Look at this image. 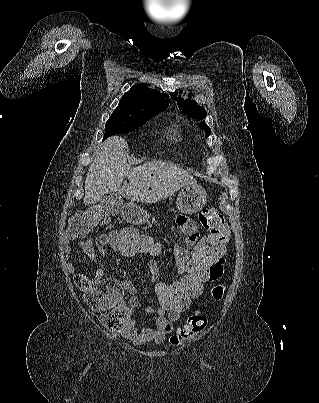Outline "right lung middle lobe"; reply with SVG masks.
Returning a JSON list of instances; mask_svg holds the SVG:
<instances>
[{"label": "right lung middle lobe", "mask_w": 319, "mask_h": 403, "mask_svg": "<svg viewBox=\"0 0 319 403\" xmlns=\"http://www.w3.org/2000/svg\"><path fill=\"white\" fill-rule=\"evenodd\" d=\"M152 117L145 119H137L127 117L117 112H113L106 123L104 139L115 134L119 133L123 134L133 131L142 126L144 123H146L147 120H149Z\"/></svg>", "instance_id": "1"}]
</instances>
